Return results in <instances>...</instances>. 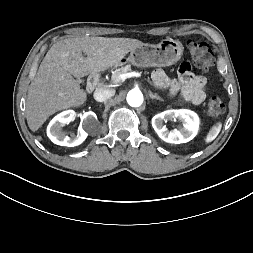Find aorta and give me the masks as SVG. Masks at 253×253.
Masks as SVG:
<instances>
[{
	"instance_id": "aorta-1",
	"label": "aorta",
	"mask_w": 253,
	"mask_h": 253,
	"mask_svg": "<svg viewBox=\"0 0 253 253\" xmlns=\"http://www.w3.org/2000/svg\"><path fill=\"white\" fill-rule=\"evenodd\" d=\"M127 102L132 107H139L143 103V94L138 89L130 90L127 94Z\"/></svg>"
}]
</instances>
